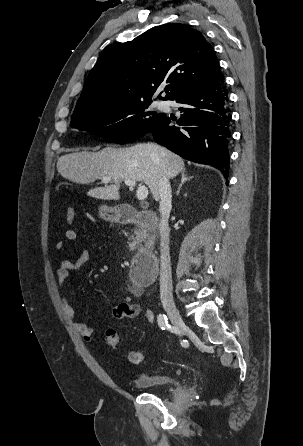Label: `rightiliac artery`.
I'll list each match as a JSON object with an SVG mask.
<instances>
[{
	"mask_svg": "<svg viewBox=\"0 0 303 446\" xmlns=\"http://www.w3.org/2000/svg\"><path fill=\"white\" fill-rule=\"evenodd\" d=\"M157 321H158V325H159V327H160L162 330H165L166 328L169 327V324H168V320H167L166 315H164V314H159L158 317H157Z\"/></svg>",
	"mask_w": 303,
	"mask_h": 446,
	"instance_id": "1",
	"label": "right iliac artery"
}]
</instances>
